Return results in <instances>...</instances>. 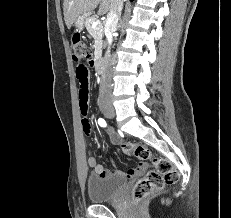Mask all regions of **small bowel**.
I'll use <instances>...</instances> for the list:
<instances>
[{
	"mask_svg": "<svg viewBox=\"0 0 231 218\" xmlns=\"http://www.w3.org/2000/svg\"><path fill=\"white\" fill-rule=\"evenodd\" d=\"M93 60H86L85 63H80L77 66L75 73L76 77L79 81V106L81 113L86 115L89 107V74L91 73L90 68L93 65ZM83 130L85 133H90L91 126L90 122L87 119L83 121ZM110 139L113 144H117L120 141L119 136L113 131H109ZM87 163L89 167H91L95 174L99 176H108L110 175V171L105 169L102 165H100L95 156H90L87 159ZM147 169V164L145 162H139V164L135 168L124 170H117L116 174L119 176H125L128 178H133L138 175L144 173Z\"/></svg>",
	"mask_w": 231,
	"mask_h": 218,
	"instance_id": "c3829d8e",
	"label": "small bowel"
}]
</instances>
